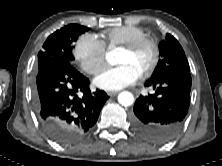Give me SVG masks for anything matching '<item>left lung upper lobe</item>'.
I'll list each match as a JSON object with an SVG mask.
<instances>
[{
	"mask_svg": "<svg viewBox=\"0 0 222 166\" xmlns=\"http://www.w3.org/2000/svg\"><path fill=\"white\" fill-rule=\"evenodd\" d=\"M159 51L161 58L151 79L178 72H190L184 50L171 34H166V38L160 42Z\"/></svg>",
	"mask_w": 222,
	"mask_h": 166,
	"instance_id": "obj_1",
	"label": "left lung upper lobe"
}]
</instances>
